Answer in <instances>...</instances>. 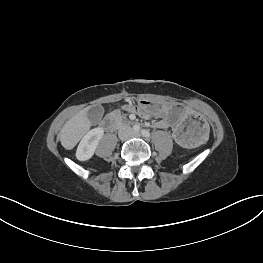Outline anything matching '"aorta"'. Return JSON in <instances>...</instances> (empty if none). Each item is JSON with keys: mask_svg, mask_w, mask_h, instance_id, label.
Returning <instances> with one entry per match:
<instances>
[{"mask_svg": "<svg viewBox=\"0 0 263 263\" xmlns=\"http://www.w3.org/2000/svg\"><path fill=\"white\" fill-rule=\"evenodd\" d=\"M134 129H135V130H138V129H139V126H138V125H135V126H134Z\"/></svg>", "mask_w": 263, "mask_h": 263, "instance_id": "762f6f07", "label": "aorta"}]
</instances>
